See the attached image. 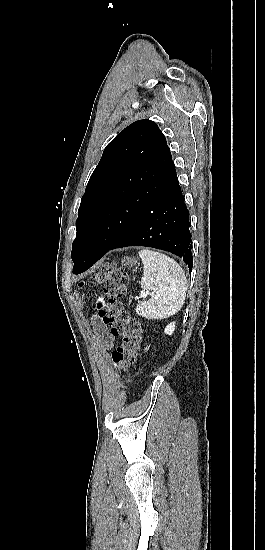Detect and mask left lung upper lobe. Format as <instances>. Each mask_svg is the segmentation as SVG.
<instances>
[{"instance_id": "1", "label": "left lung upper lobe", "mask_w": 265, "mask_h": 550, "mask_svg": "<svg viewBox=\"0 0 265 550\" xmlns=\"http://www.w3.org/2000/svg\"><path fill=\"white\" fill-rule=\"evenodd\" d=\"M175 178L170 149L155 122L139 120L122 130L104 149L81 199L73 270L90 252L109 249Z\"/></svg>"}]
</instances>
